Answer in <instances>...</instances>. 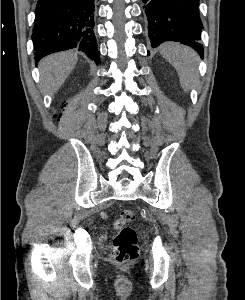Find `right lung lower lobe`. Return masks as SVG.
<instances>
[{
	"label": "right lung lower lobe",
	"instance_id": "right-lung-lower-lobe-1",
	"mask_svg": "<svg viewBox=\"0 0 245 300\" xmlns=\"http://www.w3.org/2000/svg\"><path fill=\"white\" fill-rule=\"evenodd\" d=\"M94 24V0H38L32 33L36 59L77 48L99 64Z\"/></svg>",
	"mask_w": 245,
	"mask_h": 300
}]
</instances>
